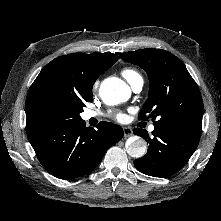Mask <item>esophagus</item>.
I'll return each instance as SVG.
<instances>
[{
    "label": "esophagus",
    "mask_w": 221,
    "mask_h": 221,
    "mask_svg": "<svg viewBox=\"0 0 221 221\" xmlns=\"http://www.w3.org/2000/svg\"><path fill=\"white\" fill-rule=\"evenodd\" d=\"M123 131H124V136L125 137H129L133 134V131L130 127H124Z\"/></svg>",
    "instance_id": "obj_1"
}]
</instances>
